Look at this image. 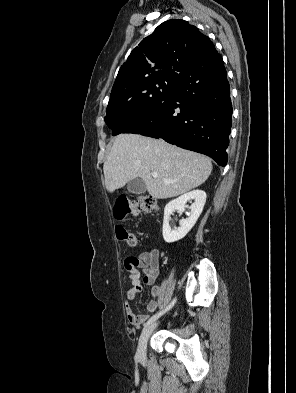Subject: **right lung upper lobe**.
I'll return each instance as SVG.
<instances>
[{
	"instance_id": "obj_1",
	"label": "right lung upper lobe",
	"mask_w": 296,
	"mask_h": 393,
	"mask_svg": "<svg viewBox=\"0 0 296 393\" xmlns=\"http://www.w3.org/2000/svg\"><path fill=\"white\" fill-rule=\"evenodd\" d=\"M209 37L187 21L171 19L134 48L121 66L110 102L131 99L159 81H177L213 47Z\"/></svg>"
}]
</instances>
